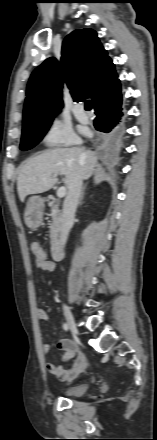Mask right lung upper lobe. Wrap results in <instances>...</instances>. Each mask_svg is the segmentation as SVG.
<instances>
[{
  "instance_id": "right-lung-upper-lobe-1",
  "label": "right lung upper lobe",
  "mask_w": 157,
  "mask_h": 440,
  "mask_svg": "<svg viewBox=\"0 0 157 440\" xmlns=\"http://www.w3.org/2000/svg\"><path fill=\"white\" fill-rule=\"evenodd\" d=\"M117 77L97 33L89 28L73 31L63 41L60 65L51 57L33 71L27 85L23 126L53 120L63 106L60 99L63 80L75 102L90 98L96 110L104 101L121 93Z\"/></svg>"
}]
</instances>
